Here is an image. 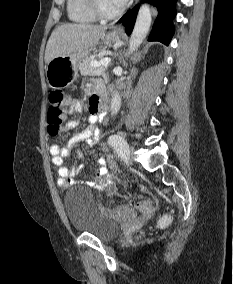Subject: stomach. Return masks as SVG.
I'll return each instance as SVG.
<instances>
[{
    "label": "stomach",
    "instance_id": "stomach-1",
    "mask_svg": "<svg viewBox=\"0 0 233 284\" xmlns=\"http://www.w3.org/2000/svg\"><path fill=\"white\" fill-rule=\"evenodd\" d=\"M122 35L110 31L101 37L102 43L109 45L121 41ZM91 49L75 51L66 56L52 59L46 67V78L49 86L54 89L68 87L78 77L79 64L89 56Z\"/></svg>",
    "mask_w": 233,
    "mask_h": 284
}]
</instances>
